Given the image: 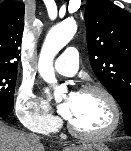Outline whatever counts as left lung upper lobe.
Segmentation results:
<instances>
[{
  "label": "left lung upper lobe",
  "instance_id": "obj_1",
  "mask_svg": "<svg viewBox=\"0 0 131 151\" xmlns=\"http://www.w3.org/2000/svg\"><path fill=\"white\" fill-rule=\"evenodd\" d=\"M85 22L92 69L121 106L131 136V14L109 0H87Z\"/></svg>",
  "mask_w": 131,
  "mask_h": 151
}]
</instances>
